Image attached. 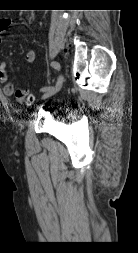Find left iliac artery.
I'll return each instance as SVG.
<instances>
[{
	"label": "left iliac artery",
	"instance_id": "obj_1",
	"mask_svg": "<svg viewBox=\"0 0 138 253\" xmlns=\"http://www.w3.org/2000/svg\"><path fill=\"white\" fill-rule=\"evenodd\" d=\"M51 67H53L56 70H60V64L56 61L51 62ZM49 87H43L41 88V91H46Z\"/></svg>",
	"mask_w": 138,
	"mask_h": 253
}]
</instances>
